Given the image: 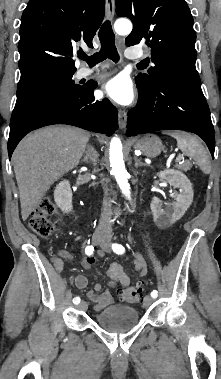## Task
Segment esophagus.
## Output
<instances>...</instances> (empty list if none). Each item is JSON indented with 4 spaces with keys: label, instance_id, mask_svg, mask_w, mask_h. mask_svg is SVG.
I'll list each match as a JSON object with an SVG mask.
<instances>
[{
    "label": "esophagus",
    "instance_id": "34e87169",
    "mask_svg": "<svg viewBox=\"0 0 221 379\" xmlns=\"http://www.w3.org/2000/svg\"><path fill=\"white\" fill-rule=\"evenodd\" d=\"M106 12L109 20H112L115 13V0H106ZM119 127L121 129L126 127L127 114L124 110H120L118 113Z\"/></svg>",
    "mask_w": 221,
    "mask_h": 379
}]
</instances>
